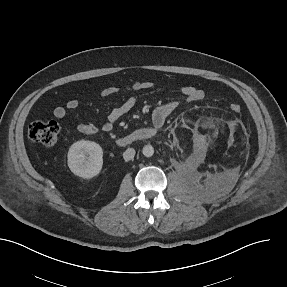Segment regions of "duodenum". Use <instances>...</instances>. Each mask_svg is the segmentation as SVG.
Listing matches in <instances>:
<instances>
[{"mask_svg": "<svg viewBox=\"0 0 287 287\" xmlns=\"http://www.w3.org/2000/svg\"><path fill=\"white\" fill-rule=\"evenodd\" d=\"M156 128L142 127L138 128L129 135L120 137L116 140V144L120 147H125L135 141L148 140L156 135Z\"/></svg>", "mask_w": 287, "mask_h": 287, "instance_id": "obj_1", "label": "duodenum"}]
</instances>
